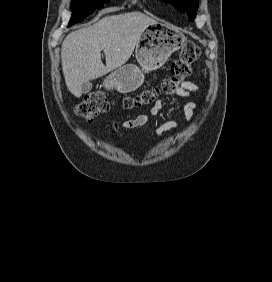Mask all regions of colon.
Returning <instances> with one entry per match:
<instances>
[{
    "label": "colon",
    "mask_w": 272,
    "mask_h": 282,
    "mask_svg": "<svg viewBox=\"0 0 272 282\" xmlns=\"http://www.w3.org/2000/svg\"><path fill=\"white\" fill-rule=\"evenodd\" d=\"M201 56V49L190 40H184L178 55L173 62L170 75L153 89L147 90L134 98L124 100L126 109L154 104L157 99L172 96L181 87L191 74V64ZM112 106V100L103 92H94L88 95L77 107L76 113L87 120H91Z\"/></svg>",
    "instance_id": "5ec220e1"
}]
</instances>
